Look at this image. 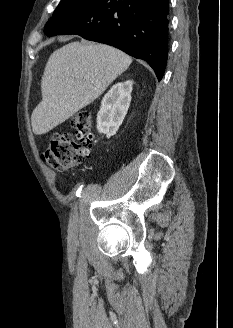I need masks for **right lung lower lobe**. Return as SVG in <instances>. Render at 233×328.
Returning a JSON list of instances; mask_svg holds the SVG:
<instances>
[{
	"label": "right lung lower lobe",
	"instance_id": "98d812e1",
	"mask_svg": "<svg viewBox=\"0 0 233 328\" xmlns=\"http://www.w3.org/2000/svg\"><path fill=\"white\" fill-rule=\"evenodd\" d=\"M169 0H95L57 20L48 36L77 34L145 60L161 80L168 56Z\"/></svg>",
	"mask_w": 233,
	"mask_h": 328
}]
</instances>
